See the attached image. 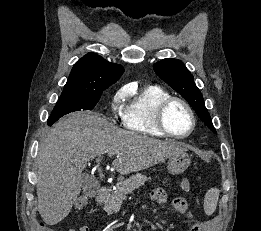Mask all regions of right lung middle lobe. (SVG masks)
I'll list each match as a JSON object with an SVG mask.
<instances>
[{"label": "right lung middle lobe", "mask_w": 261, "mask_h": 231, "mask_svg": "<svg viewBox=\"0 0 261 231\" xmlns=\"http://www.w3.org/2000/svg\"><path fill=\"white\" fill-rule=\"evenodd\" d=\"M101 95L102 92H62L48 119V125L51 126L60 117L70 112L92 110Z\"/></svg>", "instance_id": "dd1d6c3e"}]
</instances>
